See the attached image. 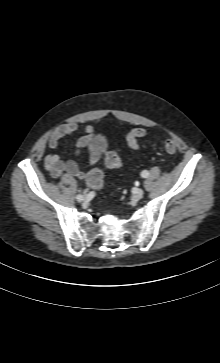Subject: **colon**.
Returning a JSON list of instances; mask_svg holds the SVG:
<instances>
[{"mask_svg":"<svg viewBox=\"0 0 220 363\" xmlns=\"http://www.w3.org/2000/svg\"><path fill=\"white\" fill-rule=\"evenodd\" d=\"M146 135V130L143 128H135L131 130L127 135V143L130 148H139V139ZM164 148L168 153H174L177 150V143L172 138H167L164 141ZM105 163L109 168L120 169L122 167V161L115 151H107L104 155ZM88 185L93 189H99L104 183V175L101 169H93L87 178Z\"/></svg>","mask_w":220,"mask_h":363,"instance_id":"obj_1","label":"colon"}]
</instances>
